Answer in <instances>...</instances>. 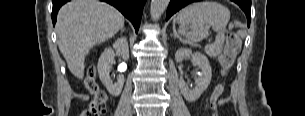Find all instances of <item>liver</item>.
Segmentation results:
<instances>
[{
    "label": "liver",
    "instance_id": "obj_1",
    "mask_svg": "<svg viewBox=\"0 0 305 116\" xmlns=\"http://www.w3.org/2000/svg\"><path fill=\"white\" fill-rule=\"evenodd\" d=\"M123 26V15L105 2L71 0L63 5L56 23L57 43L70 72L83 79L89 50L113 37Z\"/></svg>",
    "mask_w": 305,
    "mask_h": 116
}]
</instances>
